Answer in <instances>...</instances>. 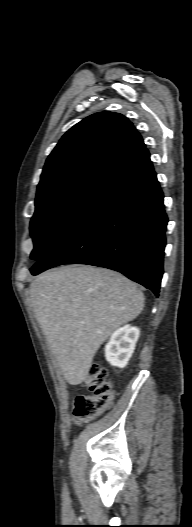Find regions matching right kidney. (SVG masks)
I'll list each match as a JSON object with an SVG mask.
<instances>
[{"label":"right kidney","mask_w":192,"mask_h":527,"mask_svg":"<svg viewBox=\"0 0 192 527\" xmlns=\"http://www.w3.org/2000/svg\"><path fill=\"white\" fill-rule=\"evenodd\" d=\"M140 330L126 325L117 329L105 346L106 360L113 366L124 368L131 358Z\"/></svg>","instance_id":"ca27d5eb"}]
</instances>
